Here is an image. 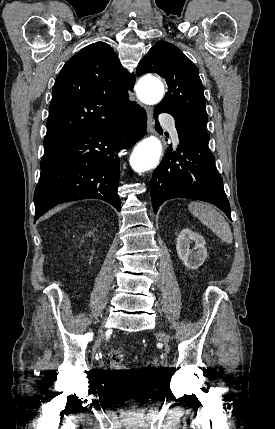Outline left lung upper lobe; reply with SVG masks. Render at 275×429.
<instances>
[{
  "label": "left lung upper lobe",
  "mask_w": 275,
  "mask_h": 429,
  "mask_svg": "<svg viewBox=\"0 0 275 429\" xmlns=\"http://www.w3.org/2000/svg\"><path fill=\"white\" fill-rule=\"evenodd\" d=\"M136 73H156L167 83L168 92L156 106L170 113L175 123L209 138L203 86L198 68L176 46L158 41L139 62Z\"/></svg>",
  "instance_id": "1"
}]
</instances>
